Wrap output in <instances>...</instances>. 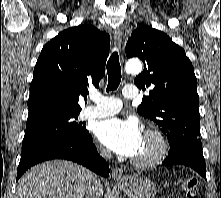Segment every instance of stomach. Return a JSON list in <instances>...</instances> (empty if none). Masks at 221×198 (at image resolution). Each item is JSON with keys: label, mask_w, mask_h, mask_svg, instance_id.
I'll list each match as a JSON object with an SVG mask.
<instances>
[{"label": "stomach", "mask_w": 221, "mask_h": 198, "mask_svg": "<svg viewBox=\"0 0 221 198\" xmlns=\"http://www.w3.org/2000/svg\"><path fill=\"white\" fill-rule=\"evenodd\" d=\"M118 186L129 198H155L158 193V188L153 181L138 176H131L118 183Z\"/></svg>", "instance_id": "stomach-1"}]
</instances>
